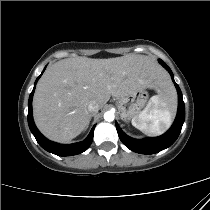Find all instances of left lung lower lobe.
Here are the masks:
<instances>
[{
  "mask_svg": "<svg viewBox=\"0 0 210 210\" xmlns=\"http://www.w3.org/2000/svg\"><path fill=\"white\" fill-rule=\"evenodd\" d=\"M159 62L170 73L171 78L178 92V112H177L176 119L172 127L170 128V130L160 137L136 140L124 134L123 131L118 126V124L116 123V128H117L119 138L124 143V145L130 150L137 153H141V154L158 153L168 148L169 146H171L178 138L182 129V125L184 123V119H185V106H184L181 90L178 84H176V82L174 81V77H173V73L171 69L162 60L159 59Z\"/></svg>",
  "mask_w": 210,
  "mask_h": 210,
  "instance_id": "left-lung-lower-lobe-1",
  "label": "left lung lower lobe"
}]
</instances>
